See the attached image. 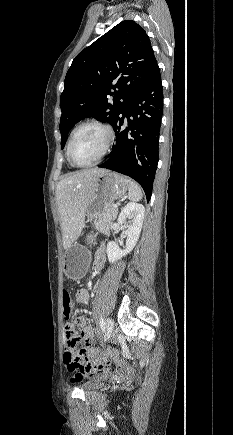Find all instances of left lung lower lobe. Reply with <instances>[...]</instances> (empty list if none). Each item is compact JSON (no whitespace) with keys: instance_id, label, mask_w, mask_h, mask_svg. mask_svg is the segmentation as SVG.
Here are the masks:
<instances>
[{"instance_id":"0a47b994","label":"left lung lower lobe","mask_w":233,"mask_h":435,"mask_svg":"<svg viewBox=\"0 0 233 435\" xmlns=\"http://www.w3.org/2000/svg\"><path fill=\"white\" fill-rule=\"evenodd\" d=\"M162 114V83L160 69L156 65L113 124L116 143L108 155L109 159L99 165L136 180L144 189L148 202L158 164ZM125 118L127 127L122 130Z\"/></svg>"}]
</instances>
